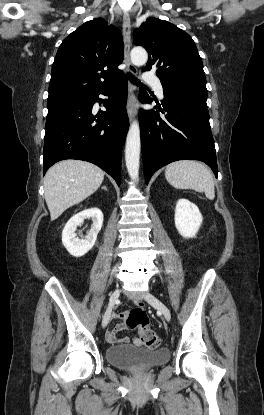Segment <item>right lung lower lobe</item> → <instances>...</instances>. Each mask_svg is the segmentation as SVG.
Listing matches in <instances>:
<instances>
[{"label": "right lung lower lobe", "instance_id": "obj_1", "mask_svg": "<svg viewBox=\"0 0 264 415\" xmlns=\"http://www.w3.org/2000/svg\"><path fill=\"white\" fill-rule=\"evenodd\" d=\"M71 99L49 102L45 125L43 173L64 159L96 164L118 185L121 181V153L129 128L126 112L127 81L120 77L114 88ZM99 94L110 95L106 112L94 115L93 105L101 103Z\"/></svg>", "mask_w": 264, "mask_h": 415}]
</instances>
